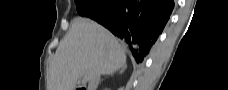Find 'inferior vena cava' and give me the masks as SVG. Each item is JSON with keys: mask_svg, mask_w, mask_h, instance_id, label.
<instances>
[{"mask_svg": "<svg viewBox=\"0 0 228 90\" xmlns=\"http://www.w3.org/2000/svg\"><path fill=\"white\" fill-rule=\"evenodd\" d=\"M99 81H100V75L99 74H96L92 77V79L89 81V89L91 88H96L99 84Z\"/></svg>", "mask_w": 228, "mask_h": 90, "instance_id": "602c4592", "label": "inferior vena cava"}]
</instances>
